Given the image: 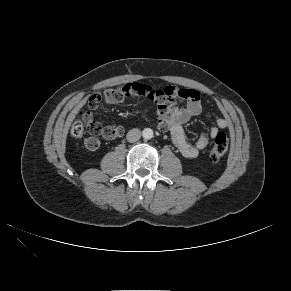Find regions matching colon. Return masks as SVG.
I'll return each instance as SVG.
<instances>
[{
	"label": "colon",
	"mask_w": 291,
	"mask_h": 291,
	"mask_svg": "<svg viewBox=\"0 0 291 291\" xmlns=\"http://www.w3.org/2000/svg\"><path fill=\"white\" fill-rule=\"evenodd\" d=\"M102 99L101 96L92 98L88 103L89 109H95L98 102ZM123 130L120 127H102L96 122L91 112L83 111L80 118L72 125L71 135L75 138H83L86 133L91 135L89 138L102 136L107 139H113L122 134ZM229 147V139L225 133H219L211 144L209 151L210 160L213 162L219 161L227 152Z\"/></svg>",
	"instance_id": "colon-1"
}]
</instances>
